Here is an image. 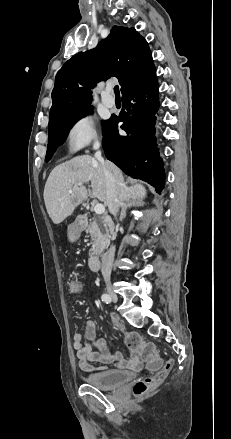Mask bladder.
<instances>
[{
	"label": "bladder",
	"mask_w": 231,
	"mask_h": 439,
	"mask_svg": "<svg viewBox=\"0 0 231 439\" xmlns=\"http://www.w3.org/2000/svg\"><path fill=\"white\" fill-rule=\"evenodd\" d=\"M135 374L129 371L106 370L88 373L84 376V381L98 389H115L133 379Z\"/></svg>",
	"instance_id": "obj_1"
}]
</instances>
